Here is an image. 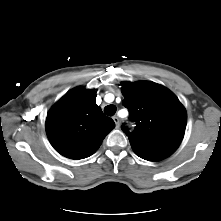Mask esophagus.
I'll list each match as a JSON object with an SVG mask.
<instances>
[{
  "label": "esophagus",
  "instance_id": "1",
  "mask_svg": "<svg viewBox=\"0 0 221 221\" xmlns=\"http://www.w3.org/2000/svg\"><path fill=\"white\" fill-rule=\"evenodd\" d=\"M113 120H114V122H115L116 128H119V126H120V120H119V118H118L117 116H114V117H113Z\"/></svg>",
  "mask_w": 221,
  "mask_h": 221
}]
</instances>
